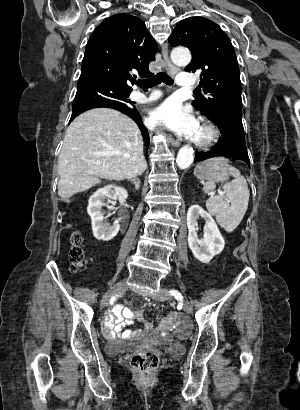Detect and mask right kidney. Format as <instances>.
<instances>
[{
  "label": "right kidney",
  "instance_id": "1",
  "mask_svg": "<svg viewBox=\"0 0 300 410\" xmlns=\"http://www.w3.org/2000/svg\"><path fill=\"white\" fill-rule=\"evenodd\" d=\"M127 198L128 192L124 188L115 185L99 188L90 196L87 212L91 217L92 231L96 239L110 241L120 229L118 220H115L111 225L105 221L104 213L101 211L105 205L104 201L108 200L110 202V200H125Z\"/></svg>",
  "mask_w": 300,
  "mask_h": 410
}]
</instances>
